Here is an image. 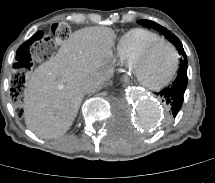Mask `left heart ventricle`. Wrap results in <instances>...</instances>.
I'll return each mask as SVG.
<instances>
[{
	"mask_svg": "<svg viewBox=\"0 0 215 183\" xmlns=\"http://www.w3.org/2000/svg\"><path fill=\"white\" fill-rule=\"evenodd\" d=\"M175 54L167 44L154 47L138 65V74L142 82L156 85L163 82L172 72Z\"/></svg>",
	"mask_w": 215,
	"mask_h": 183,
	"instance_id": "left-heart-ventricle-1",
	"label": "left heart ventricle"
}]
</instances>
